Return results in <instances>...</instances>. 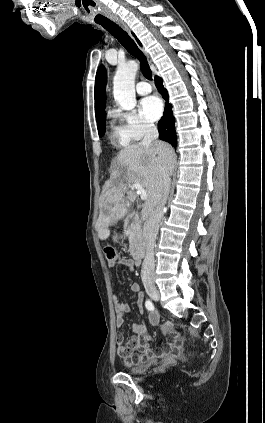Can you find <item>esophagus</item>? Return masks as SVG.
<instances>
[{
    "instance_id": "esophagus-1",
    "label": "esophagus",
    "mask_w": 265,
    "mask_h": 423,
    "mask_svg": "<svg viewBox=\"0 0 265 423\" xmlns=\"http://www.w3.org/2000/svg\"><path fill=\"white\" fill-rule=\"evenodd\" d=\"M112 20L118 24L123 30H125L128 34L131 35L130 29L129 27L126 25V23H124L121 19L117 18V17H112Z\"/></svg>"
}]
</instances>
